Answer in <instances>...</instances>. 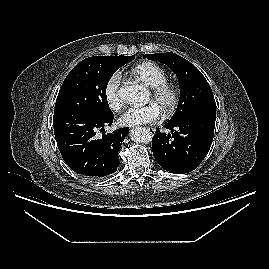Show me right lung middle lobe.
<instances>
[{"instance_id":"dd1d6c3e","label":"right lung middle lobe","mask_w":269,"mask_h":269,"mask_svg":"<svg viewBox=\"0 0 269 269\" xmlns=\"http://www.w3.org/2000/svg\"><path fill=\"white\" fill-rule=\"evenodd\" d=\"M135 56L89 57L78 63L65 78L54 112L83 110L98 115L111 114L106 96L112 75Z\"/></svg>"}]
</instances>
